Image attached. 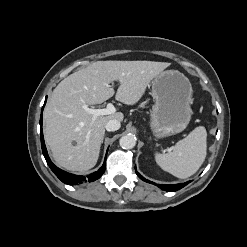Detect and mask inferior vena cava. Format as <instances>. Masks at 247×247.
I'll list each match as a JSON object with an SVG mask.
<instances>
[{
    "instance_id": "obj_1",
    "label": "inferior vena cava",
    "mask_w": 247,
    "mask_h": 247,
    "mask_svg": "<svg viewBox=\"0 0 247 247\" xmlns=\"http://www.w3.org/2000/svg\"><path fill=\"white\" fill-rule=\"evenodd\" d=\"M120 126H121V124H120L119 120L112 119L106 123L105 128L107 131H116L120 128Z\"/></svg>"
}]
</instances>
